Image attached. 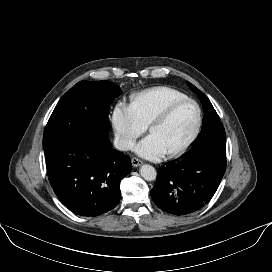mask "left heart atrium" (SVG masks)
<instances>
[{
  "instance_id": "39dd6f15",
  "label": "left heart atrium",
  "mask_w": 272,
  "mask_h": 272,
  "mask_svg": "<svg viewBox=\"0 0 272 272\" xmlns=\"http://www.w3.org/2000/svg\"><path fill=\"white\" fill-rule=\"evenodd\" d=\"M135 151L138 155L152 160L159 159L166 154L157 138L151 135L141 141L135 147Z\"/></svg>"
}]
</instances>
